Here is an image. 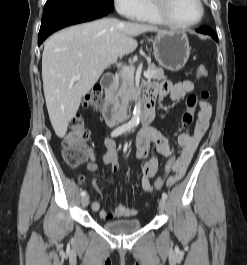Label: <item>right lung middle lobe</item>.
<instances>
[{
	"label": "right lung middle lobe",
	"instance_id": "dd1d6c3e",
	"mask_svg": "<svg viewBox=\"0 0 247 265\" xmlns=\"http://www.w3.org/2000/svg\"><path fill=\"white\" fill-rule=\"evenodd\" d=\"M104 1H107L109 3H113V0H104Z\"/></svg>",
	"mask_w": 247,
	"mask_h": 265
}]
</instances>
